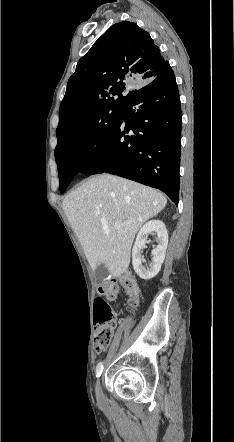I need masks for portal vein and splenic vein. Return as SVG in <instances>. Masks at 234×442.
I'll return each instance as SVG.
<instances>
[{
	"label": "portal vein and splenic vein",
	"mask_w": 234,
	"mask_h": 442,
	"mask_svg": "<svg viewBox=\"0 0 234 442\" xmlns=\"http://www.w3.org/2000/svg\"><path fill=\"white\" fill-rule=\"evenodd\" d=\"M126 224H128V223H121V222L116 221V222H114V227L116 229H120V228H122V226H124Z\"/></svg>",
	"instance_id": "portal-vein-and-splenic-vein-1"
}]
</instances>
